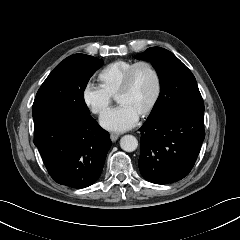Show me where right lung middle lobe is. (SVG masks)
<instances>
[{
  "instance_id": "obj_1",
  "label": "right lung middle lobe",
  "mask_w": 240,
  "mask_h": 240,
  "mask_svg": "<svg viewBox=\"0 0 240 240\" xmlns=\"http://www.w3.org/2000/svg\"><path fill=\"white\" fill-rule=\"evenodd\" d=\"M102 64L101 59L85 54L67 57L41 85L32 110L58 109L90 115L84 101V90L91 76Z\"/></svg>"
}]
</instances>
